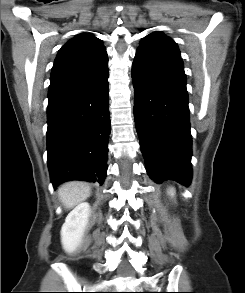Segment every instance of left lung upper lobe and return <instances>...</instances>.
Wrapping results in <instances>:
<instances>
[{"label":"left lung upper lobe","mask_w":245,"mask_h":293,"mask_svg":"<svg viewBox=\"0 0 245 293\" xmlns=\"http://www.w3.org/2000/svg\"><path fill=\"white\" fill-rule=\"evenodd\" d=\"M137 50L149 52L183 67L177 44L160 31L147 35Z\"/></svg>","instance_id":"5c2ea615"}]
</instances>
